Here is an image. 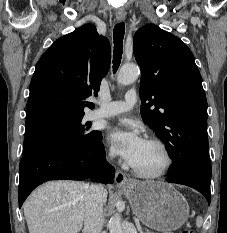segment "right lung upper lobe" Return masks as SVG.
<instances>
[{"label": "right lung upper lobe", "instance_id": "obj_1", "mask_svg": "<svg viewBox=\"0 0 227 233\" xmlns=\"http://www.w3.org/2000/svg\"><path fill=\"white\" fill-rule=\"evenodd\" d=\"M110 44L84 25L56 40L36 64L30 83L25 135L83 118L85 99L97 96L110 67Z\"/></svg>", "mask_w": 227, "mask_h": 233}]
</instances>
